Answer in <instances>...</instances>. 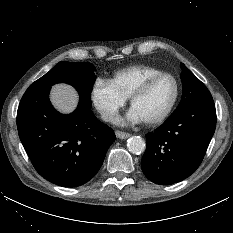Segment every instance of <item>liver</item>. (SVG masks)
I'll use <instances>...</instances> for the list:
<instances>
[{
  "instance_id": "6515ba94",
  "label": "liver",
  "mask_w": 233,
  "mask_h": 233,
  "mask_svg": "<svg viewBox=\"0 0 233 233\" xmlns=\"http://www.w3.org/2000/svg\"><path fill=\"white\" fill-rule=\"evenodd\" d=\"M50 99L58 111L71 113L77 106L78 94L70 85L56 84L52 87Z\"/></svg>"
}]
</instances>
